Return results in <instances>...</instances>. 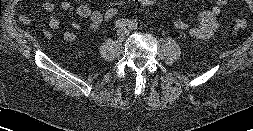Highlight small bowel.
<instances>
[{
  "label": "small bowel",
  "mask_w": 253,
  "mask_h": 131,
  "mask_svg": "<svg viewBox=\"0 0 253 131\" xmlns=\"http://www.w3.org/2000/svg\"><path fill=\"white\" fill-rule=\"evenodd\" d=\"M228 1L229 0H215V3L212 6L203 10L199 14L198 24L195 26H190L189 23L183 19H176L174 21V26L178 30H188L189 34L196 39H208L218 29V16ZM70 6L71 5L68 1H62L59 4L50 1L42 3V8L47 12L66 11ZM76 13L79 17L88 19L89 27L93 30L98 29L104 22L103 12L92 10L87 5L78 6ZM19 20L24 25H29L31 22L30 18L24 13L20 14ZM60 26V20L53 17L49 20L47 27L43 28V33L47 38H50L52 36V31L59 30ZM80 28L81 26L78 22H73L72 29L63 31V38L67 42H73L76 39V31Z\"/></svg>",
  "instance_id": "c3829d8e"
}]
</instances>
